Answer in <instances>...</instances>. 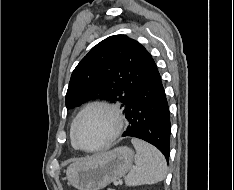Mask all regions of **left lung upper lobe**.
<instances>
[{"instance_id":"1","label":"left lung upper lobe","mask_w":234,"mask_h":190,"mask_svg":"<svg viewBox=\"0 0 234 190\" xmlns=\"http://www.w3.org/2000/svg\"><path fill=\"white\" fill-rule=\"evenodd\" d=\"M145 48L125 35H114L94 46L72 72L66 107L91 99L120 103L123 112L146 78Z\"/></svg>"}]
</instances>
